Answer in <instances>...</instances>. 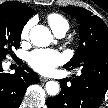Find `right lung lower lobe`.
Instances as JSON below:
<instances>
[{
	"instance_id": "obj_1",
	"label": "right lung lower lobe",
	"mask_w": 108,
	"mask_h": 108,
	"mask_svg": "<svg viewBox=\"0 0 108 108\" xmlns=\"http://www.w3.org/2000/svg\"><path fill=\"white\" fill-rule=\"evenodd\" d=\"M39 82V76L27 65L19 66L14 74L3 72L0 60V108H19L29 85Z\"/></svg>"
}]
</instances>
